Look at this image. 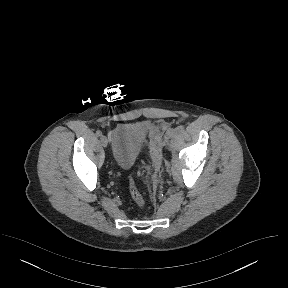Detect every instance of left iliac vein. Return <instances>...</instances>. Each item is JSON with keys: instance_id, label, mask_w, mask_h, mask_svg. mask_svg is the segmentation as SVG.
<instances>
[{"instance_id": "obj_1", "label": "left iliac vein", "mask_w": 288, "mask_h": 288, "mask_svg": "<svg viewBox=\"0 0 288 288\" xmlns=\"http://www.w3.org/2000/svg\"><path fill=\"white\" fill-rule=\"evenodd\" d=\"M175 131H170L168 134H167V138H170L174 135Z\"/></svg>"}]
</instances>
